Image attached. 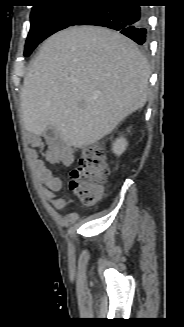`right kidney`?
<instances>
[{
	"mask_svg": "<svg viewBox=\"0 0 184 327\" xmlns=\"http://www.w3.org/2000/svg\"><path fill=\"white\" fill-rule=\"evenodd\" d=\"M127 145L126 139L120 137L113 143L112 150L117 156H120L125 151Z\"/></svg>",
	"mask_w": 184,
	"mask_h": 327,
	"instance_id": "right-kidney-1",
	"label": "right kidney"
}]
</instances>
